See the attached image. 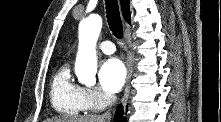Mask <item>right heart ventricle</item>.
Here are the masks:
<instances>
[{"label":"right heart ventricle","mask_w":221,"mask_h":122,"mask_svg":"<svg viewBox=\"0 0 221 122\" xmlns=\"http://www.w3.org/2000/svg\"><path fill=\"white\" fill-rule=\"evenodd\" d=\"M50 99L54 110L62 115L77 116L88 110L83 88L72 79L69 64L62 65L54 75Z\"/></svg>","instance_id":"1"}]
</instances>
